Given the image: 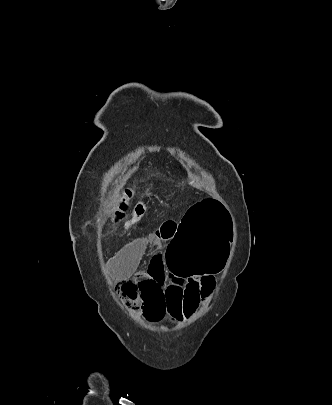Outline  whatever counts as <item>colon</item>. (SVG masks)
Returning <instances> with one entry per match:
<instances>
[{
    "label": "colon",
    "instance_id": "obj_1",
    "mask_svg": "<svg viewBox=\"0 0 332 405\" xmlns=\"http://www.w3.org/2000/svg\"><path fill=\"white\" fill-rule=\"evenodd\" d=\"M127 195L130 196L129 191ZM224 208V203L218 202L216 197H202L200 202L188 205V211H184V220H175V240H171V248L166 250L170 273L216 275L227 268L226 257H231L229 243L232 236L229 229L232 222L230 211H223ZM128 210V203L122 202L116 219L121 220ZM119 290L129 305H142L141 292H137L136 283L124 282Z\"/></svg>",
    "mask_w": 332,
    "mask_h": 405
}]
</instances>
